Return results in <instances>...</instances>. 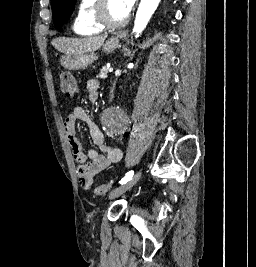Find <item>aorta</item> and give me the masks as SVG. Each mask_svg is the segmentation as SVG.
Returning <instances> with one entry per match:
<instances>
[{
  "instance_id": "obj_1",
  "label": "aorta",
  "mask_w": 256,
  "mask_h": 267,
  "mask_svg": "<svg viewBox=\"0 0 256 267\" xmlns=\"http://www.w3.org/2000/svg\"><path fill=\"white\" fill-rule=\"evenodd\" d=\"M160 2L161 0H141L135 16L134 38H140ZM104 113L106 117H102V122H105V127H120V122H129V117H121L123 108H104ZM104 133H113V128H104ZM111 143H118V138H111Z\"/></svg>"
}]
</instances>
